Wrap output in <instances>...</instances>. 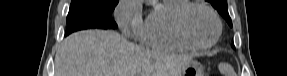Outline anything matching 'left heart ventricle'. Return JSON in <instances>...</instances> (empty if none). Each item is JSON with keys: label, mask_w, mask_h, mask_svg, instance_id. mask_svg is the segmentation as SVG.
Returning <instances> with one entry per match:
<instances>
[{"label": "left heart ventricle", "mask_w": 287, "mask_h": 76, "mask_svg": "<svg viewBox=\"0 0 287 76\" xmlns=\"http://www.w3.org/2000/svg\"><path fill=\"white\" fill-rule=\"evenodd\" d=\"M184 27L191 40L200 44L210 42L217 30L213 17L201 8H193L188 12Z\"/></svg>", "instance_id": "b2bd125f"}]
</instances>
